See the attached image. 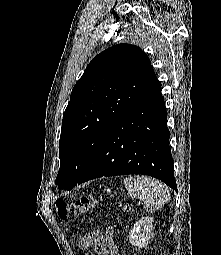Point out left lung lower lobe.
<instances>
[{"mask_svg": "<svg viewBox=\"0 0 221 255\" xmlns=\"http://www.w3.org/2000/svg\"><path fill=\"white\" fill-rule=\"evenodd\" d=\"M166 118L157 83L114 123L77 184L102 176L144 174L177 192Z\"/></svg>", "mask_w": 221, "mask_h": 255, "instance_id": "obj_1", "label": "left lung lower lobe"}]
</instances>
